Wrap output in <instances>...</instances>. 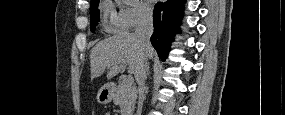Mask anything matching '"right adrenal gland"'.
<instances>
[{"instance_id": "2a0ac1e0", "label": "right adrenal gland", "mask_w": 285, "mask_h": 115, "mask_svg": "<svg viewBox=\"0 0 285 115\" xmlns=\"http://www.w3.org/2000/svg\"><path fill=\"white\" fill-rule=\"evenodd\" d=\"M150 70H149V65L147 66V71H146V75H149Z\"/></svg>"}]
</instances>
